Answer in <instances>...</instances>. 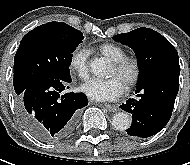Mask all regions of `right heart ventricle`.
Listing matches in <instances>:
<instances>
[{
    "mask_svg": "<svg viewBox=\"0 0 190 165\" xmlns=\"http://www.w3.org/2000/svg\"><path fill=\"white\" fill-rule=\"evenodd\" d=\"M97 50L112 62L126 58V52L120 46H117L115 44H102L98 47Z\"/></svg>",
    "mask_w": 190,
    "mask_h": 165,
    "instance_id": "1",
    "label": "right heart ventricle"
}]
</instances>
